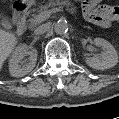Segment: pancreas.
<instances>
[{
    "label": "pancreas",
    "instance_id": "1",
    "mask_svg": "<svg viewBox=\"0 0 119 119\" xmlns=\"http://www.w3.org/2000/svg\"><path fill=\"white\" fill-rule=\"evenodd\" d=\"M56 6H72V4L69 2V0H52L49 3L45 5H41L39 9H34L33 11L35 12L34 14L31 15L29 21H30V26H36L37 24L41 23L42 21L38 20V15L44 11L50 10V8H54Z\"/></svg>",
    "mask_w": 119,
    "mask_h": 119
}]
</instances>
